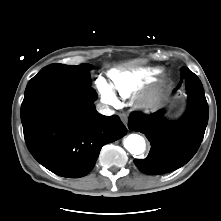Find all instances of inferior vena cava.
<instances>
[{"instance_id":"602c4592","label":"inferior vena cava","mask_w":221,"mask_h":221,"mask_svg":"<svg viewBox=\"0 0 221 221\" xmlns=\"http://www.w3.org/2000/svg\"><path fill=\"white\" fill-rule=\"evenodd\" d=\"M98 111L103 115H111L112 111L109 109L108 106L105 105H97Z\"/></svg>"}]
</instances>
